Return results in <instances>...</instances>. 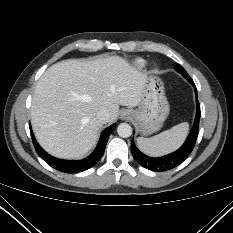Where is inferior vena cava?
Instances as JSON below:
<instances>
[{"instance_id": "602c4592", "label": "inferior vena cava", "mask_w": 233, "mask_h": 233, "mask_svg": "<svg viewBox=\"0 0 233 233\" xmlns=\"http://www.w3.org/2000/svg\"><path fill=\"white\" fill-rule=\"evenodd\" d=\"M97 119L102 123L105 124L109 120V113L107 110L103 109L100 110L97 114Z\"/></svg>"}]
</instances>
